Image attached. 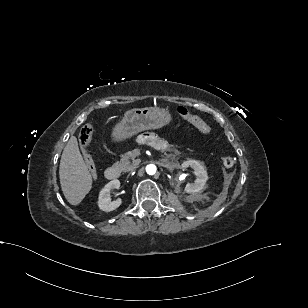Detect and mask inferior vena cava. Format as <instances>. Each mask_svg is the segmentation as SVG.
<instances>
[{"instance_id": "inferior-vena-cava-1", "label": "inferior vena cava", "mask_w": 308, "mask_h": 308, "mask_svg": "<svg viewBox=\"0 0 308 308\" xmlns=\"http://www.w3.org/2000/svg\"><path fill=\"white\" fill-rule=\"evenodd\" d=\"M128 172H129L130 175H133L135 171H134L133 168H130Z\"/></svg>"}]
</instances>
